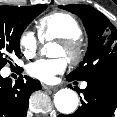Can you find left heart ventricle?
<instances>
[{
  "mask_svg": "<svg viewBox=\"0 0 117 117\" xmlns=\"http://www.w3.org/2000/svg\"><path fill=\"white\" fill-rule=\"evenodd\" d=\"M52 54L54 56H66L65 51H64V49L62 48V46L60 44H57L55 46V48L53 49Z\"/></svg>",
  "mask_w": 117,
  "mask_h": 117,
  "instance_id": "obj_1",
  "label": "left heart ventricle"
}]
</instances>
